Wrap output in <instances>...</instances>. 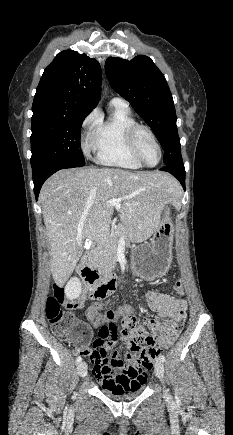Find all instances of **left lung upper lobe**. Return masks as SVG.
<instances>
[{"mask_svg":"<svg viewBox=\"0 0 233 435\" xmlns=\"http://www.w3.org/2000/svg\"><path fill=\"white\" fill-rule=\"evenodd\" d=\"M105 70L114 90L130 102L156 134L164 149V164L182 160L172 94L152 59L144 55L130 61L110 57Z\"/></svg>","mask_w":233,"mask_h":435,"instance_id":"obj_1","label":"left lung upper lobe"}]
</instances>
